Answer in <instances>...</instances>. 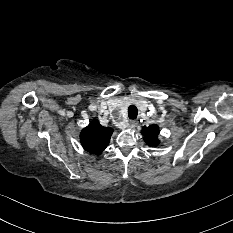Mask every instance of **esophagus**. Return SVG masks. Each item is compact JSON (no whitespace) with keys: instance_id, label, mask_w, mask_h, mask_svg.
Masks as SVG:
<instances>
[{"instance_id":"esophagus-1","label":"esophagus","mask_w":233,"mask_h":233,"mask_svg":"<svg viewBox=\"0 0 233 233\" xmlns=\"http://www.w3.org/2000/svg\"><path fill=\"white\" fill-rule=\"evenodd\" d=\"M136 125H137V121L135 120L129 121V128L133 129L136 127Z\"/></svg>"}]
</instances>
